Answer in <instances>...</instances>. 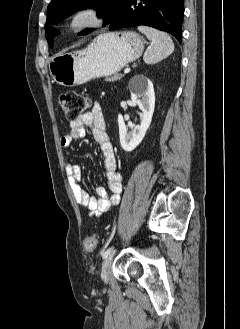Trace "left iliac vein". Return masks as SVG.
<instances>
[{"mask_svg":"<svg viewBox=\"0 0 240 329\" xmlns=\"http://www.w3.org/2000/svg\"><path fill=\"white\" fill-rule=\"evenodd\" d=\"M113 257H114V251L111 252V254L108 257H106L105 260L103 261L101 277L104 282L108 281L109 273L113 262Z\"/></svg>","mask_w":240,"mask_h":329,"instance_id":"4c4485c4","label":"left iliac vein"}]
</instances>
